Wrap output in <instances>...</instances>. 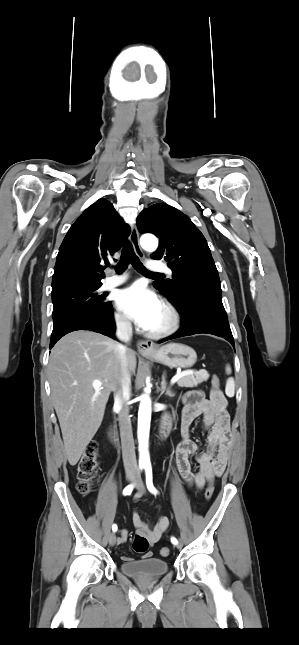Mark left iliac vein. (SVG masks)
I'll list each match as a JSON object with an SVG mask.
<instances>
[{
    "mask_svg": "<svg viewBox=\"0 0 299 645\" xmlns=\"http://www.w3.org/2000/svg\"><path fill=\"white\" fill-rule=\"evenodd\" d=\"M136 488H137L140 492H142V493L145 491V487H144V484H143V481L141 480V478H138V479H137V481H136ZM176 547H177L178 549H180V548L182 547V544H181V543H177V544H176Z\"/></svg>",
    "mask_w": 299,
    "mask_h": 645,
    "instance_id": "1",
    "label": "left iliac vein"
}]
</instances>
